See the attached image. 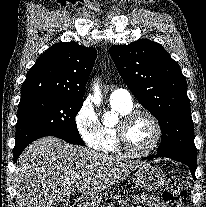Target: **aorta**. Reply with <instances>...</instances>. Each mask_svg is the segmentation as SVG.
I'll return each instance as SVG.
<instances>
[{
    "mask_svg": "<svg viewBox=\"0 0 206 207\" xmlns=\"http://www.w3.org/2000/svg\"><path fill=\"white\" fill-rule=\"evenodd\" d=\"M101 97H102V95H101L99 86L94 85V99H93V102L97 107H99L100 104H101V101H102ZM116 120H117V115L115 113L106 112L103 115L104 124L114 123Z\"/></svg>",
    "mask_w": 206,
    "mask_h": 207,
    "instance_id": "1",
    "label": "aorta"
}]
</instances>
